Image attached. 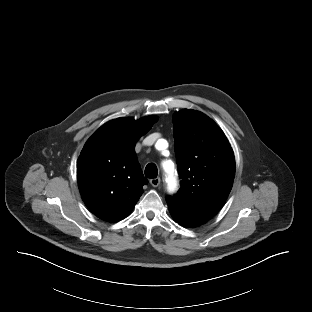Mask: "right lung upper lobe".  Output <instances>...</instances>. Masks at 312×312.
Segmentation results:
<instances>
[{
	"label": "right lung upper lobe",
	"mask_w": 312,
	"mask_h": 312,
	"mask_svg": "<svg viewBox=\"0 0 312 312\" xmlns=\"http://www.w3.org/2000/svg\"><path fill=\"white\" fill-rule=\"evenodd\" d=\"M157 118H119L101 126L86 142L77 161L78 186L90 211L108 222L125 218L148 181L134 150Z\"/></svg>",
	"instance_id": "1"
}]
</instances>
